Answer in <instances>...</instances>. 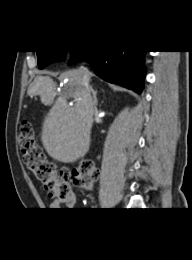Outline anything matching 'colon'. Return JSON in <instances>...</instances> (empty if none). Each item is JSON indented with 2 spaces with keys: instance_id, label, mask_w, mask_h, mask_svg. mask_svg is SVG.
<instances>
[{
  "instance_id": "5ec220e1",
  "label": "colon",
  "mask_w": 192,
  "mask_h": 260,
  "mask_svg": "<svg viewBox=\"0 0 192 260\" xmlns=\"http://www.w3.org/2000/svg\"><path fill=\"white\" fill-rule=\"evenodd\" d=\"M19 146L25 165L51 197L58 200L69 197L72 192L71 182L84 191L92 190L99 175L95 163L83 160L72 171H58L37 144L34 129L27 121L20 126Z\"/></svg>"
}]
</instances>
